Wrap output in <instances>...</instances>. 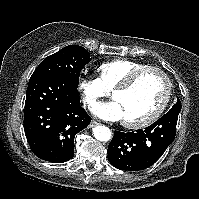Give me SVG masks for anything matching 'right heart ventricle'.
<instances>
[{
	"instance_id": "e07e8e85",
	"label": "right heart ventricle",
	"mask_w": 199,
	"mask_h": 199,
	"mask_svg": "<svg viewBox=\"0 0 199 199\" xmlns=\"http://www.w3.org/2000/svg\"><path fill=\"white\" fill-rule=\"evenodd\" d=\"M146 66V64L129 59L105 62L97 69L99 81L109 91L121 84L131 73Z\"/></svg>"
}]
</instances>
